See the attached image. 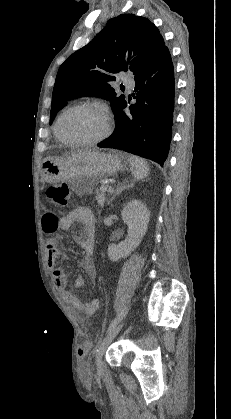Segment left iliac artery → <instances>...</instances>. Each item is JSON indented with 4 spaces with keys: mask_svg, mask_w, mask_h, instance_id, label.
Segmentation results:
<instances>
[{
    "mask_svg": "<svg viewBox=\"0 0 231 419\" xmlns=\"http://www.w3.org/2000/svg\"><path fill=\"white\" fill-rule=\"evenodd\" d=\"M125 313H126V309H124L121 313H120V315L118 316V317H116L112 322H111V324L109 325V327H108V330H107V333H109L111 330H113L116 326H117V324L122 320V318L124 317V315H125Z\"/></svg>",
    "mask_w": 231,
    "mask_h": 419,
    "instance_id": "left-iliac-artery-1",
    "label": "left iliac artery"
}]
</instances>
